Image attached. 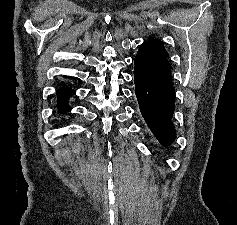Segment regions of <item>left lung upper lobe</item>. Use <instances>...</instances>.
I'll list each match as a JSON object with an SVG mask.
<instances>
[{
  "mask_svg": "<svg viewBox=\"0 0 237 225\" xmlns=\"http://www.w3.org/2000/svg\"><path fill=\"white\" fill-rule=\"evenodd\" d=\"M168 53L159 39L149 37L135 57L134 75L150 83H171V66Z\"/></svg>",
  "mask_w": 237,
  "mask_h": 225,
  "instance_id": "5c2ea615",
  "label": "left lung upper lobe"
}]
</instances>
